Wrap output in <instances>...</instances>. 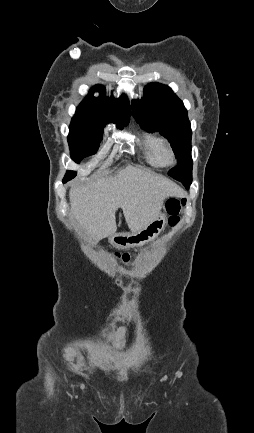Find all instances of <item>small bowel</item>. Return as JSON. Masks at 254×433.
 <instances>
[{"instance_id": "c3829d8e", "label": "small bowel", "mask_w": 254, "mask_h": 433, "mask_svg": "<svg viewBox=\"0 0 254 433\" xmlns=\"http://www.w3.org/2000/svg\"><path fill=\"white\" fill-rule=\"evenodd\" d=\"M83 364H84L83 361H80V365L83 366Z\"/></svg>"}]
</instances>
